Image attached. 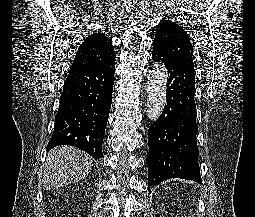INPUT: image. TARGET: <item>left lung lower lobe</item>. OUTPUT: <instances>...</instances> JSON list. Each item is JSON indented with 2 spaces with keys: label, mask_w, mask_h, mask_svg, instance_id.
I'll list each match as a JSON object with an SVG mask.
<instances>
[{
  "label": "left lung lower lobe",
  "mask_w": 255,
  "mask_h": 217,
  "mask_svg": "<svg viewBox=\"0 0 255 217\" xmlns=\"http://www.w3.org/2000/svg\"><path fill=\"white\" fill-rule=\"evenodd\" d=\"M153 61L164 64L167 90L164 111L149 128L148 187L170 178L201 183L196 133L195 73L153 48Z\"/></svg>",
  "instance_id": "obj_1"
}]
</instances>
